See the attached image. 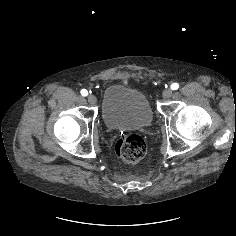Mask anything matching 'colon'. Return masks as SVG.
I'll list each match as a JSON object with an SVG mask.
<instances>
[{
  "label": "colon",
  "instance_id": "5ec220e1",
  "mask_svg": "<svg viewBox=\"0 0 236 236\" xmlns=\"http://www.w3.org/2000/svg\"><path fill=\"white\" fill-rule=\"evenodd\" d=\"M117 155L126 163H137L146 154L147 145L144 138L137 133L120 137L115 146Z\"/></svg>",
  "mask_w": 236,
  "mask_h": 236
}]
</instances>
